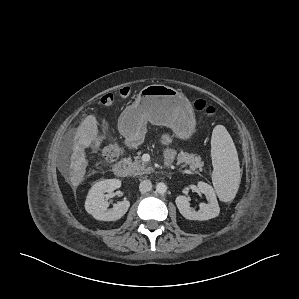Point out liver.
I'll return each instance as SVG.
<instances>
[{"label": "liver", "instance_id": "obj_1", "mask_svg": "<svg viewBox=\"0 0 299 299\" xmlns=\"http://www.w3.org/2000/svg\"><path fill=\"white\" fill-rule=\"evenodd\" d=\"M97 136L98 122L95 116H88L77 130L73 153L70 158L69 179L74 188H77L83 181L86 167L88 165L85 149L97 139Z\"/></svg>", "mask_w": 299, "mask_h": 299}]
</instances>
